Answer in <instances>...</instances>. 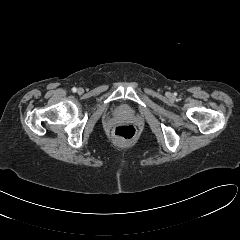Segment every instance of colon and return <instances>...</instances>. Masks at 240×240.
I'll use <instances>...</instances> for the list:
<instances>
[{"instance_id":"1","label":"colon","mask_w":240,"mask_h":240,"mask_svg":"<svg viewBox=\"0 0 240 240\" xmlns=\"http://www.w3.org/2000/svg\"><path fill=\"white\" fill-rule=\"evenodd\" d=\"M113 134L122 140H130L136 135V128L131 124H118L113 128Z\"/></svg>"}]
</instances>
